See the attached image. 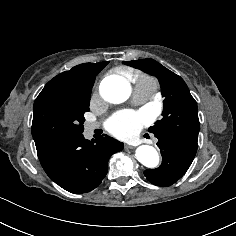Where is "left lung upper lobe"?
<instances>
[{"label": "left lung upper lobe", "instance_id": "1", "mask_svg": "<svg viewBox=\"0 0 236 236\" xmlns=\"http://www.w3.org/2000/svg\"><path fill=\"white\" fill-rule=\"evenodd\" d=\"M158 78L164 99L163 118L149 128L155 137L172 134L198 140L197 103L184 80L151 58L123 62Z\"/></svg>", "mask_w": 236, "mask_h": 236}]
</instances>
